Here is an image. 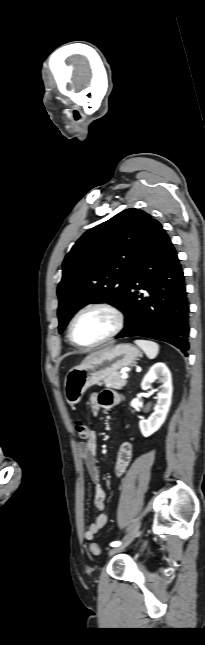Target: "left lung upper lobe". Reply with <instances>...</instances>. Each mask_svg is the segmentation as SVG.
<instances>
[{
    "label": "left lung upper lobe",
    "instance_id": "obj_1",
    "mask_svg": "<svg viewBox=\"0 0 205 645\" xmlns=\"http://www.w3.org/2000/svg\"><path fill=\"white\" fill-rule=\"evenodd\" d=\"M151 221L146 212L127 209L88 230L74 244L57 289L60 333L88 303L105 302L121 310L131 263Z\"/></svg>",
    "mask_w": 205,
    "mask_h": 645
}]
</instances>
